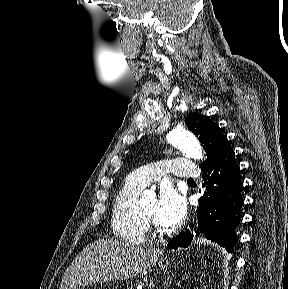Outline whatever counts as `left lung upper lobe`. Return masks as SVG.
<instances>
[{
    "instance_id": "obj_1",
    "label": "left lung upper lobe",
    "mask_w": 288,
    "mask_h": 289,
    "mask_svg": "<svg viewBox=\"0 0 288 289\" xmlns=\"http://www.w3.org/2000/svg\"><path fill=\"white\" fill-rule=\"evenodd\" d=\"M187 127L198 137L206 152L207 159L200 167L210 162L220 144L226 137L221 133L219 126L207 116L200 114H189L185 118Z\"/></svg>"
}]
</instances>
